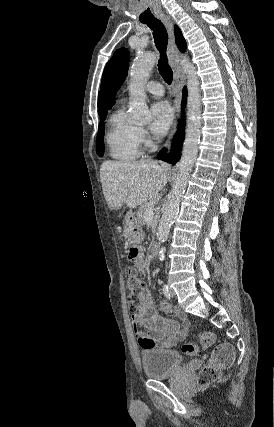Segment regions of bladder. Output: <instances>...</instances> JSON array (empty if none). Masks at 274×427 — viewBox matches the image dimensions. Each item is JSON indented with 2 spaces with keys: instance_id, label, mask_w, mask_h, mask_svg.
<instances>
[{
  "instance_id": "bladder-1",
  "label": "bladder",
  "mask_w": 274,
  "mask_h": 427,
  "mask_svg": "<svg viewBox=\"0 0 274 427\" xmlns=\"http://www.w3.org/2000/svg\"><path fill=\"white\" fill-rule=\"evenodd\" d=\"M140 362L145 376L151 380L171 378L182 367L181 356L173 349H145Z\"/></svg>"
}]
</instances>
